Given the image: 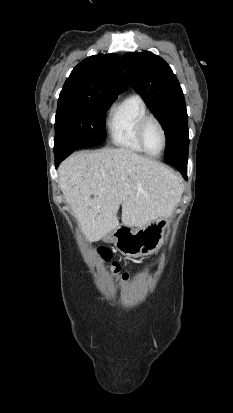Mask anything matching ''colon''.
I'll use <instances>...</instances> for the list:
<instances>
[{
	"label": "colon",
	"instance_id": "1",
	"mask_svg": "<svg viewBox=\"0 0 233 413\" xmlns=\"http://www.w3.org/2000/svg\"><path fill=\"white\" fill-rule=\"evenodd\" d=\"M99 256L106 262H109L111 260V253L108 249L106 248H101L99 249ZM110 269L115 276V278L120 282V283H125L128 281L129 276L127 273H121L120 272V265L117 262H111Z\"/></svg>",
	"mask_w": 233,
	"mask_h": 413
}]
</instances>
